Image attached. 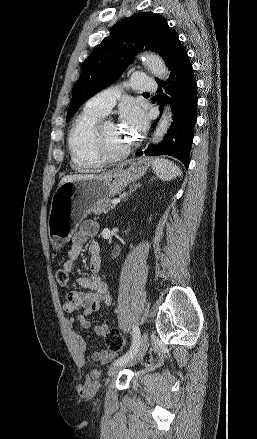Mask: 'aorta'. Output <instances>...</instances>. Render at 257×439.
I'll return each instance as SVG.
<instances>
[{
    "label": "aorta",
    "mask_w": 257,
    "mask_h": 439,
    "mask_svg": "<svg viewBox=\"0 0 257 439\" xmlns=\"http://www.w3.org/2000/svg\"><path fill=\"white\" fill-rule=\"evenodd\" d=\"M142 60L145 62L146 66L152 73V75L163 79L167 75V67L163 59L154 53H145L141 56ZM171 112L170 108L167 107L165 113L160 119L156 130L154 132L153 142H159L162 140L163 136L167 133V130L171 123Z\"/></svg>",
    "instance_id": "1"
}]
</instances>
